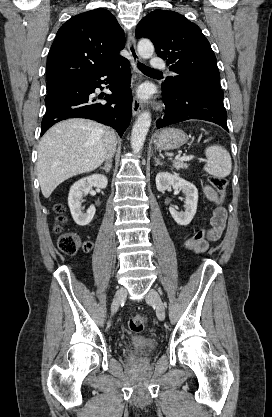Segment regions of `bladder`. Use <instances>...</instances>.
I'll list each match as a JSON object with an SVG mask.
<instances>
[{"instance_id": "obj_1", "label": "bladder", "mask_w": 272, "mask_h": 417, "mask_svg": "<svg viewBox=\"0 0 272 417\" xmlns=\"http://www.w3.org/2000/svg\"><path fill=\"white\" fill-rule=\"evenodd\" d=\"M128 343L145 353H151L158 348L155 338L144 335H133L128 338Z\"/></svg>"}]
</instances>
